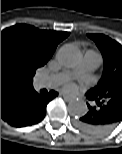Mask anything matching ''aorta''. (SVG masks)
Returning <instances> with one entry per match:
<instances>
[{
  "label": "aorta",
  "instance_id": "762f6f07",
  "mask_svg": "<svg viewBox=\"0 0 122 154\" xmlns=\"http://www.w3.org/2000/svg\"><path fill=\"white\" fill-rule=\"evenodd\" d=\"M57 59L65 67H73L80 60V51L73 45L61 47L57 53ZM88 111L87 105L82 100H72L68 104V112L72 116H82Z\"/></svg>",
  "mask_w": 122,
  "mask_h": 154
}]
</instances>
